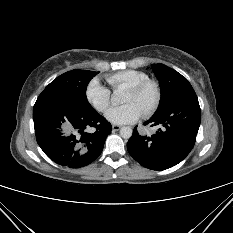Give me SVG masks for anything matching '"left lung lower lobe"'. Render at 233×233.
Here are the masks:
<instances>
[{"mask_svg": "<svg viewBox=\"0 0 233 233\" xmlns=\"http://www.w3.org/2000/svg\"><path fill=\"white\" fill-rule=\"evenodd\" d=\"M201 111L191 84L184 85L165 108L144 123L161 126L151 137L138 134L127 143L129 154L142 166L164 170L180 163L192 150L200 126Z\"/></svg>", "mask_w": 233, "mask_h": 233, "instance_id": "left-lung-lower-lobe-1", "label": "left lung lower lobe"}]
</instances>
